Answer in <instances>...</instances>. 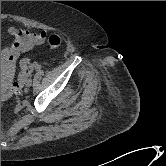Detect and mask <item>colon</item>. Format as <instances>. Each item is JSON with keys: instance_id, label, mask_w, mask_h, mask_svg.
Returning a JSON list of instances; mask_svg holds the SVG:
<instances>
[{"instance_id": "colon-1", "label": "colon", "mask_w": 166, "mask_h": 166, "mask_svg": "<svg viewBox=\"0 0 166 166\" xmlns=\"http://www.w3.org/2000/svg\"><path fill=\"white\" fill-rule=\"evenodd\" d=\"M47 43H48V47L51 50H57L60 48L62 44V39L57 35H52L48 38ZM30 65L31 63L28 58H24L21 60L20 66H19L18 80L12 84V86L6 93L1 94V101L9 98L12 94L20 90V88L22 87L24 78L30 72Z\"/></svg>"}]
</instances>
